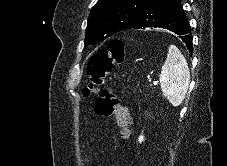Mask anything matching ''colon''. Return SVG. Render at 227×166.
<instances>
[{"instance_id": "5ec220e1", "label": "colon", "mask_w": 227, "mask_h": 166, "mask_svg": "<svg viewBox=\"0 0 227 166\" xmlns=\"http://www.w3.org/2000/svg\"><path fill=\"white\" fill-rule=\"evenodd\" d=\"M124 45L120 40H111L106 47L98 49L90 58L87 69L89 83L83 90L86 98L98 93V86L103 84L115 64L125 60ZM95 113L103 117H114L120 134L127 137L130 132L131 117L127 107L121 104L114 90L107 88L100 92L95 102Z\"/></svg>"}]
</instances>
